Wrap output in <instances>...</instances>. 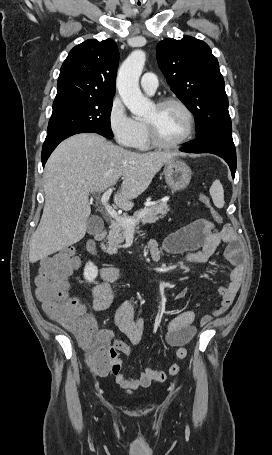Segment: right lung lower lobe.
Wrapping results in <instances>:
<instances>
[{
	"label": "right lung lower lobe",
	"mask_w": 272,
	"mask_h": 455,
	"mask_svg": "<svg viewBox=\"0 0 272 455\" xmlns=\"http://www.w3.org/2000/svg\"><path fill=\"white\" fill-rule=\"evenodd\" d=\"M78 133H95L92 131L88 130H69V131H64L60 132L54 135L47 136L45 139V142L43 144L42 148V154H41V160L43 167L45 166V163L52 153V151L56 148V146L62 142L64 139Z\"/></svg>",
	"instance_id": "98d812e1"
}]
</instances>
